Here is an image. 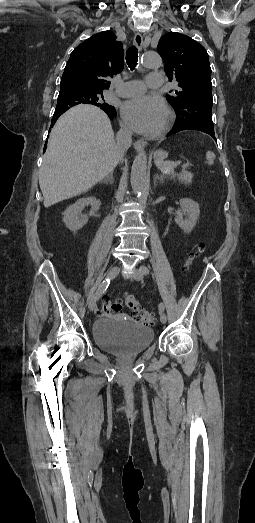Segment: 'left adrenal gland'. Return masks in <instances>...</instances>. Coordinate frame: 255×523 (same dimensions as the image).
I'll return each mask as SVG.
<instances>
[{"label":"left adrenal gland","mask_w":255,"mask_h":523,"mask_svg":"<svg viewBox=\"0 0 255 523\" xmlns=\"http://www.w3.org/2000/svg\"><path fill=\"white\" fill-rule=\"evenodd\" d=\"M157 180H163V178H159L158 174H156L155 178H154V186H157Z\"/></svg>","instance_id":"obj_1"}]
</instances>
